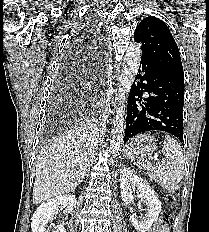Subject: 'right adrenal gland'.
<instances>
[{"label":"right adrenal gland","instance_id":"right-adrenal-gland-1","mask_svg":"<svg viewBox=\"0 0 209 232\" xmlns=\"http://www.w3.org/2000/svg\"><path fill=\"white\" fill-rule=\"evenodd\" d=\"M87 177H88V175H87V174H85V175H84V177H83V179H85V178L87 179Z\"/></svg>","mask_w":209,"mask_h":232}]
</instances>
